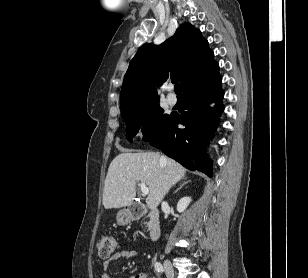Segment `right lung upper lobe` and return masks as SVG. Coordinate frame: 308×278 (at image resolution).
<instances>
[{
	"label": "right lung upper lobe",
	"instance_id": "cb5924a9",
	"mask_svg": "<svg viewBox=\"0 0 308 278\" xmlns=\"http://www.w3.org/2000/svg\"><path fill=\"white\" fill-rule=\"evenodd\" d=\"M214 53L198 29L182 24L174 36L156 48L144 44L125 74L121 93L122 116L130 111L159 103L155 86L170 76L180 81L183 93L219 72Z\"/></svg>",
	"mask_w": 308,
	"mask_h": 278
}]
</instances>
